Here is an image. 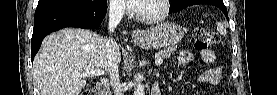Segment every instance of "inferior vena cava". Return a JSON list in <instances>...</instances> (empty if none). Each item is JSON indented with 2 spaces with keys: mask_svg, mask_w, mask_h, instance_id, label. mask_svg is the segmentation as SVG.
<instances>
[{
  "mask_svg": "<svg viewBox=\"0 0 277 95\" xmlns=\"http://www.w3.org/2000/svg\"><path fill=\"white\" fill-rule=\"evenodd\" d=\"M124 13L123 6L120 4H111L109 8V25L108 29L110 33H113L115 28L120 23ZM107 52V71L109 74V84L113 89L114 95H122L119 87V73H118V61L117 55L119 53V47L113 38H109L106 41Z\"/></svg>",
  "mask_w": 277,
  "mask_h": 95,
  "instance_id": "1",
  "label": "inferior vena cava"
}]
</instances>
